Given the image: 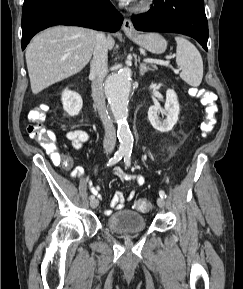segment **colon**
I'll list each match as a JSON object with an SVG mask.
<instances>
[{"label": "colon", "instance_id": "obj_1", "mask_svg": "<svg viewBox=\"0 0 243 289\" xmlns=\"http://www.w3.org/2000/svg\"><path fill=\"white\" fill-rule=\"evenodd\" d=\"M192 94L199 98L200 103L204 107L205 118L201 124V134L203 137H206L211 133L216 123V98L212 92L205 89L194 88L192 89ZM47 110L48 108L46 105H41L29 112L28 119L30 125L27 128L28 134L31 138L39 142L51 155L54 163L62 164L65 168L70 169L72 167V160L57 152L55 135L43 125ZM134 207L138 211L148 212L151 210L152 204L147 199H139L135 202Z\"/></svg>", "mask_w": 243, "mask_h": 289}]
</instances>
